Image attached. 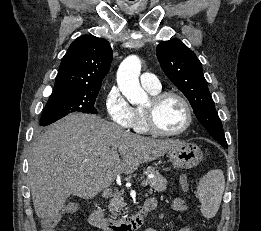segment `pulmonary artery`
Segmentation results:
<instances>
[{"label": "pulmonary artery", "instance_id": "obj_1", "mask_svg": "<svg viewBox=\"0 0 261 231\" xmlns=\"http://www.w3.org/2000/svg\"><path fill=\"white\" fill-rule=\"evenodd\" d=\"M141 83L148 90H159L161 88L156 75L148 71L142 73Z\"/></svg>", "mask_w": 261, "mask_h": 231}]
</instances>
